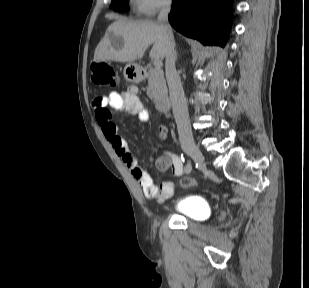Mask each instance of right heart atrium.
<instances>
[{"label":"right heart atrium","mask_w":309,"mask_h":288,"mask_svg":"<svg viewBox=\"0 0 309 288\" xmlns=\"http://www.w3.org/2000/svg\"><path fill=\"white\" fill-rule=\"evenodd\" d=\"M133 2L136 10L146 16L154 15L172 4V0H133Z\"/></svg>","instance_id":"right-heart-atrium-1"}]
</instances>
